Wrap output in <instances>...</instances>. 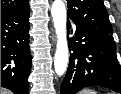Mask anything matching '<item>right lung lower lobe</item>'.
I'll list each match as a JSON object with an SVG mask.
<instances>
[{"mask_svg": "<svg viewBox=\"0 0 121 94\" xmlns=\"http://www.w3.org/2000/svg\"><path fill=\"white\" fill-rule=\"evenodd\" d=\"M29 4L1 16V87L29 94L32 65L29 48Z\"/></svg>", "mask_w": 121, "mask_h": 94, "instance_id": "right-lung-lower-lobe-1", "label": "right lung lower lobe"}]
</instances>
